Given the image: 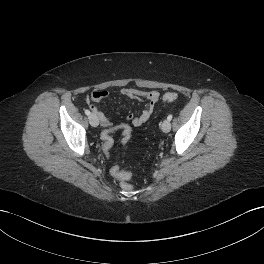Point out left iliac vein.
<instances>
[{
    "label": "left iliac vein",
    "instance_id": "left-iliac-vein-1",
    "mask_svg": "<svg viewBox=\"0 0 264 264\" xmlns=\"http://www.w3.org/2000/svg\"><path fill=\"white\" fill-rule=\"evenodd\" d=\"M161 128H162L163 132L168 133L171 130L170 121L168 119L164 120L163 123H162Z\"/></svg>",
    "mask_w": 264,
    "mask_h": 264
}]
</instances>
